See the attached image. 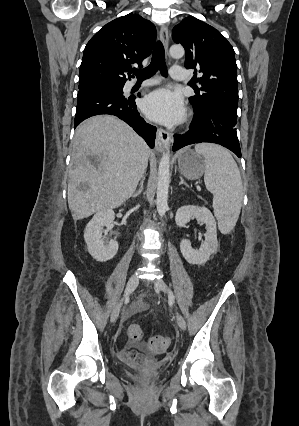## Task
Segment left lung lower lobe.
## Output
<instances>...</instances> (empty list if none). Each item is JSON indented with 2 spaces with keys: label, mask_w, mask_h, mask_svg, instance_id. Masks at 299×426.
Instances as JSON below:
<instances>
[{
  "label": "left lung lower lobe",
  "mask_w": 299,
  "mask_h": 426,
  "mask_svg": "<svg viewBox=\"0 0 299 426\" xmlns=\"http://www.w3.org/2000/svg\"><path fill=\"white\" fill-rule=\"evenodd\" d=\"M236 121V115L221 107L196 110L190 130L174 135L173 151L193 143L211 142L230 149L240 158Z\"/></svg>",
  "instance_id": "0a47b994"
}]
</instances>
